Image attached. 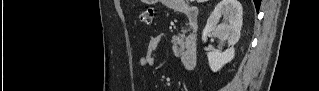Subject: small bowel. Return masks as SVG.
<instances>
[{
	"label": "small bowel",
	"mask_w": 319,
	"mask_h": 91,
	"mask_svg": "<svg viewBox=\"0 0 319 91\" xmlns=\"http://www.w3.org/2000/svg\"><path fill=\"white\" fill-rule=\"evenodd\" d=\"M161 36L159 35H152L149 37L145 54L140 59V65L142 67L150 66L155 61V52L158 49L160 43H161Z\"/></svg>",
	"instance_id": "1"
}]
</instances>
